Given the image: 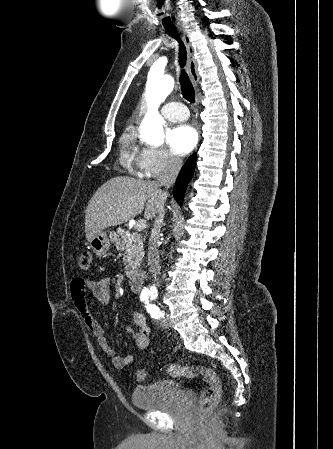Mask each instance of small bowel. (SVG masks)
<instances>
[{
	"mask_svg": "<svg viewBox=\"0 0 333 449\" xmlns=\"http://www.w3.org/2000/svg\"><path fill=\"white\" fill-rule=\"evenodd\" d=\"M87 289L90 290L98 302L105 304L109 301L111 295L110 280L108 277H102L98 280L76 277L70 286L71 299L84 325L96 338L100 349L111 359L116 368H125L133 361V355H118L114 347L108 342L103 328L89 307L86 297ZM131 317L134 326L126 323L124 327L132 336L139 349H147L150 344V331L146 324V319L143 314L138 312L133 313Z\"/></svg>",
	"mask_w": 333,
	"mask_h": 449,
	"instance_id": "c3829d8e",
	"label": "small bowel"
}]
</instances>
